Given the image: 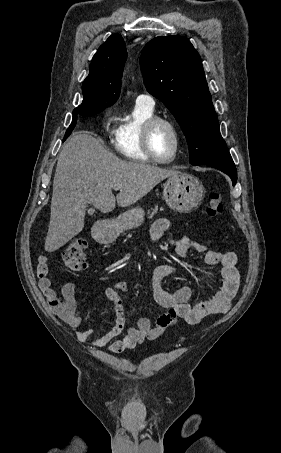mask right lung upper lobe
I'll return each mask as SVG.
<instances>
[{
  "mask_svg": "<svg viewBox=\"0 0 281 453\" xmlns=\"http://www.w3.org/2000/svg\"><path fill=\"white\" fill-rule=\"evenodd\" d=\"M126 59L122 36L118 33L111 35L92 59L89 75L82 86L83 102L74 110L95 109L101 112L113 105L120 95Z\"/></svg>",
  "mask_w": 281,
  "mask_h": 453,
  "instance_id": "1",
  "label": "right lung upper lobe"
}]
</instances>
